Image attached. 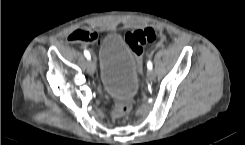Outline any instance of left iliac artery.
<instances>
[{"label": "left iliac artery", "instance_id": "44dca946", "mask_svg": "<svg viewBox=\"0 0 245 145\" xmlns=\"http://www.w3.org/2000/svg\"><path fill=\"white\" fill-rule=\"evenodd\" d=\"M152 67H153L152 62H151V61H148V63H147V68H148L149 70H151Z\"/></svg>", "mask_w": 245, "mask_h": 145}]
</instances>
